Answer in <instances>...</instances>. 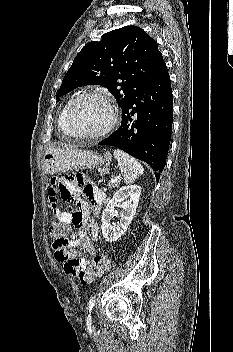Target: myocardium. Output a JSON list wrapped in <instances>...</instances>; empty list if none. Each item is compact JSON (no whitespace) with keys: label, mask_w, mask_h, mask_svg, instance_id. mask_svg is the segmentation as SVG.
<instances>
[{"label":"myocardium","mask_w":233,"mask_h":352,"mask_svg":"<svg viewBox=\"0 0 233 352\" xmlns=\"http://www.w3.org/2000/svg\"><path fill=\"white\" fill-rule=\"evenodd\" d=\"M85 98H95L105 102L111 111V119L109 123L101 130L94 133H78L74 131L72 126V113L75 106ZM119 120V111L115 103L106 95L99 92H84L76 96L70 103L67 114H66V125L68 127L70 136L77 139L91 140V139H99L107 134H109L117 125Z\"/></svg>","instance_id":"f54148a6"}]
</instances>
